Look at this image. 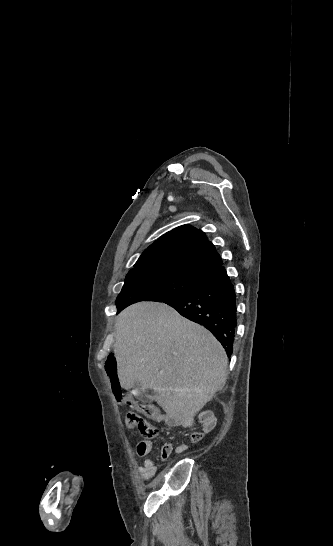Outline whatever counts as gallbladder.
Returning <instances> with one entry per match:
<instances>
[{
  "label": "gallbladder",
  "instance_id": "1",
  "mask_svg": "<svg viewBox=\"0 0 333 546\" xmlns=\"http://www.w3.org/2000/svg\"><path fill=\"white\" fill-rule=\"evenodd\" d=\"M134 387L138 389L139 395L142 396L144 400H146V401H148V402L152 401V397H144V396L141 394V392H140V386H139L138 383H136Z\"/></svg>",
  "mask_w": 333,
  "mask_h": 546
}]
</instances>
